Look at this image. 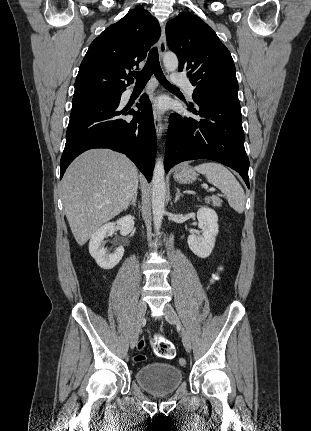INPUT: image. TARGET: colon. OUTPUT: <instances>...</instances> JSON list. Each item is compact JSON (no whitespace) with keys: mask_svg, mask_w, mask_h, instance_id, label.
<instances>
[{"mask_svg":"<svg viewBox=\"0 0 311 431\" xmlns=\"http://www.w3.org/2000/svg\"><path fill=\"white\" fill-rule=\"evenodd\" d=\"M145 340L141 339L138 342L137 348L140 352H142L145 348ZM153 350L154 353L156 354V356L160 357V358H164V359H171L175 356V347L174 345L164 339V338H157L156 341L154 342L153 345ZM134 360L136 362H143L145 360V356L143 354H138L135 356ZM178 364L180 366H185L186 365V360L184 358H180L178 360Z\"/></svg>","mask_w":311,"mask_h":431,"instance_id":"5ec220e1","label":"colon"}]
</instances>
